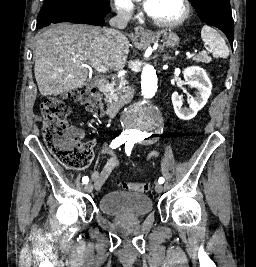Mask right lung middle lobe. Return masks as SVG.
I'll list each match as a JSON object with an SVG mask.
<instances>
[{
    "label": "right lung middle lobe",
    "mask_w": 256,
    "mask_h": 267,
    "mask_svg": "<svg viewBox=\"0 0 256 267\" xmlns=\"http://www.w3.org/2000/svg\"><path fill=\"white\" fill-rule=\"evenodd\" d=\"M84 11H93L106 15L110 12L109 0H45L38 22L53 14L78 15Z\"/></svg>",
    "instance_id": "1"
}]
</instances>
